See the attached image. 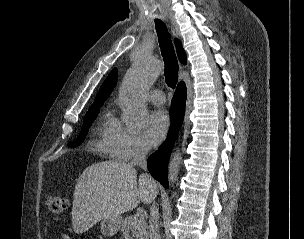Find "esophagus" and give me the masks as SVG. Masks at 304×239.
<instances>
[{
    "mask_svg": "<svg viewBox=\"0 0 304 239\" xmlns=\"http://www.w3.org/2000/svg\"><path fill=\"white\" fill-rule=\"evenodd\" d=\"M172 33H173V35H174L175 37L177 36V34H176L174 28H172Z\"/></svg>",
    "mask_w": 304,
    "mask_h": 239,
    "instance_id": "1",
    "label": "esophagus"
}]
</instances>
